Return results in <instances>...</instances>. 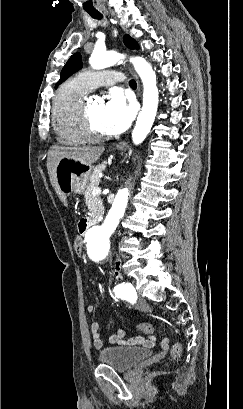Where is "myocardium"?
Segmentation results:
<instances>
[{
    "mask_svg": "<svg viewBox=\"0 0 243 409\" xmlns=\"http://www.w3.org/2000/svg\"><path fill=\"white\" fill-rule=\"evenodd\" d=\"M81 121L83 130L88 139L98 140L103 137V134L98 132L92 125L91 119L89 117L87 104L83 102L81 106Z\"/></svg>",
    "mask_w": 243,
    "mask_h": 409,
    "instance_id": "f54148a6",
    "label": "myocardium"
}]
</instances>
